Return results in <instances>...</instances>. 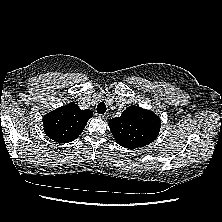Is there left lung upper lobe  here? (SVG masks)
Wrapping results in <instances>:
<instances>
[{"instance_id": "5c2ea615", "label": "left lung upper lobe", "mask_w": 222, "mask_h": 222, "mask_svg": "<svg viewBox=\"0 0 222 222\" xmlns=\"http://www.w3.org/2000/svg\"><path fill=\"white\" fill-rule=\"evenodd\" d=\"M109 127L119 145L138 148L152 143L157 138L161 120L155 113L131 105L120 117L110 119Z\"/></svg>"}]
</instances>
